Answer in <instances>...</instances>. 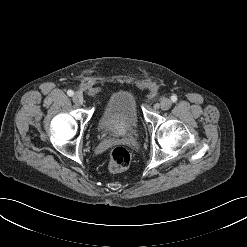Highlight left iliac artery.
Masks as SVG:
<instances>
[{
	"label": "left iliac artery",
	"instance_id": "left-iliac-artery-1",
	"mask_svg": "<svg viewBox=\"0 0 247 247\" xmlns=\"http://www.w3.org/2000/svg\"><path fill=\"white\" fill-rule=\"evenodd\" d=\"M171 100H172V102H176L177 101V96L176 95L171 96Z\"/></svg>",
	"mask_w": 247,
	"mask_h": 247
}]
</instances>
